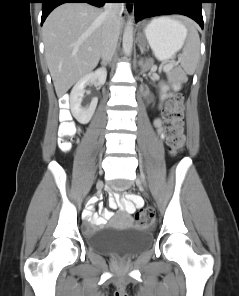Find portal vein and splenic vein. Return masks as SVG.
Listing matches in <instances>:
<instances>
[{"mask_svg":"<svg viewBox=\"0 0 239 296\" xmlns=\"http://www.w3.org/2000/svg\"><path fill=\"white\" fill-rule=\"evenodd\" d=\"M89 50H91V49H89ZM172 67H173L172 64H167L164 66V69H171Z\"/></svg>","mask_w":239,"mask_h":296,"instance_id":"18ae733b","label":"portal vein and splenic vein"}]
</instances>
